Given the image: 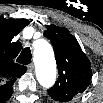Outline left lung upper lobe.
Segmentation results:
<instances>
[{
  "label": "left lung upper lobe",
  "mask_w": 103,
  "mask_h": 103,
  "mask_svg": "<svg viewBox=\"0 0 103 103\" xmlns=\"http://www.w3.org/2000/svg\"><path fill=\"white\" fill-rule=\"evenodd\" d=\"M50 39L58 64V80L48 90L52 99L67 102L85 91L92 76L90 61L76 38L64 27L50 25L44 31Z\"/></svg>",
  "instance_id": "1"
}]
</instances>
